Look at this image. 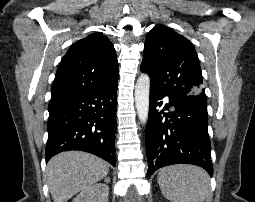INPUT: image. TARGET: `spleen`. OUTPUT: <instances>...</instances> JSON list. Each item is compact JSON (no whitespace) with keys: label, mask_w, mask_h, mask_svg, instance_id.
<instances>
[{"label":"spleen","mask_w":255,"mask_h":202,"mask_svg":"<svg viewBox=\"0 0 255 202\" xmlns=\"http://www.w3.org/2000/svg\"><path fill=\"white\" fill-rule=\"evenodd\" d=\"M157 180L164 197L172 202H203L210 198L209 176L200 167H165L160 170Z\"/></svg>","instance_id":"obj_1"}]
</instances>
